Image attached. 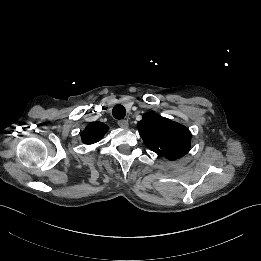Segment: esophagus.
Masks as SVG:
<instances>
[{"label": "esophagus", "mask_w": 261, "mask_h": 261, "mask_svg": "<svg viewBox=\"0 0 261 261\" xmlns=\"http://www.w3.org/2000/svg\"><path fill=\"white\" fill-rule=\"evenodd\" d=\"M118 125L121 127V128H127L129 126V123L127 120H119L118 122Z\"/></svg>", "instance_id": "34e87169"}]
</instances>
